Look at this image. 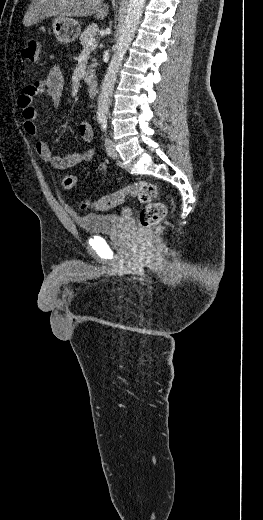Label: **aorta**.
<instances>
[{
	"instance_id": "aorta-1",
	"label": "aorta",
	"mask_w": 263,
	"mask_h": 520,
	"mask_svg": "<svg viewBox=\"0 0 263 520\" xmlns=\"http://www.w3.org/2000/svg\"><path fill=\"white\" fill-rule=\"evenodd\" d=\"M144 4L145 0H129L127 15L122 24L116 49L107 68L98 97L97 118L99 121H106L107 119L117 75L124 56L135 36Z\"/></svg>"
}]
</instances>
